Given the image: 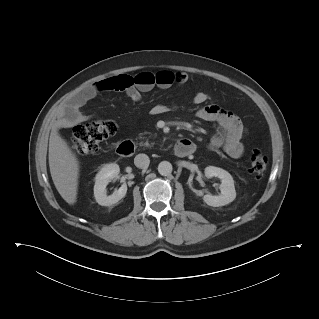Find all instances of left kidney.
Returning a JSON list of instances; mask_svg holds the SVG:
<instances>
[{"label": "left kidney", "instance_id": "5707ae66", "mask_svg": "<svg viewBox=\"0 0 319 319\" xmlns=\"http://www.w3.org/2000/svg\"><path fill=\"white\" fill-rule=\"evenodd\" d=\"M206 177H218L221 180L220 191L218 196L206 194L203 200L206 204L213 207L224 206L231 203L236 198L234 180L230 173L222 168L208 166L205 168Z\"/></svg>", "mask_w": 319, "mask_h": 319}]
</instances>
